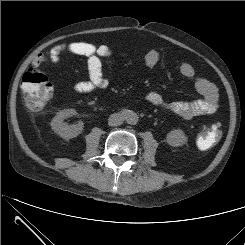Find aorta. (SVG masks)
Instances as JSON below:
<instances>
[{"label":"aorta","instance_id":"aorta-1","mask_svg":"<svg viewBox=\"0 0 245 245\" xmlns=\"http://www.w3.org/2000/svg\"><path fill=\"white\" fill-rule=\"evenodd\" d=\"M125 119L128 124L135 125L138 122L139 117L136 113L130 111L126 114Z\"/></svg>","mask_w":245,"mask_h":245}]
</instances>
